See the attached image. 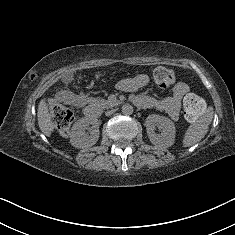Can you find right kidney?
<instances>
[{"mask_svg":"<svg viewBox=\"0 0 235 235\" xmlns=\"http://www.w3.org/2000/svg\"><path fill=\"white\" fill-rule=\"evenodd\" d=\"M97 122V120H95ZM88 124L83 120H78L71 133H70V143L76 148L91 147L99 139V126L95 125L92 127L90 135L86 134V128Z\"/></svg>","mask_w":235,"mask_h":235,"instance_id":"obj_1","label":"right kidney"}]
</instances>
